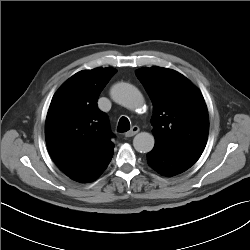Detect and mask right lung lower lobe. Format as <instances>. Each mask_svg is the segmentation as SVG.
Masks as SVG:
<instances>
[{
  "label": "right lung lower lobe",
  "instance_id": "obj_1",
  "mask_svg": "<svg viewBox=\"0 0 250 250\" xmlns=\"http://www.w3.org/2000/svg\"><path fill=\"white\" fill-rule=\"evenodd\" d=\"M113 156V152L108 154L103 160H101L99 163L85 171L84 173L72 178L75 181L86 183V182H92L96 180L103 171L107 168L108 164L110 163Z\"/></svg>",
  "mask_w": 250,
  "mask_h": 250
}]
</instances>
